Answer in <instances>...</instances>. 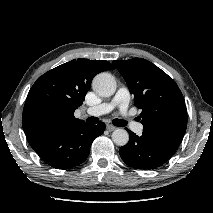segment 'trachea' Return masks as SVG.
<instances>
[{
	"label": "trachea",
	"mask_w": 213,
	"mask_h": 213,
	"mask_svg": "<svg viewBox=\"0 0 213 213\" xmlns=\"http://www.w3.org/2000/svg\"><path fill=\"white\" fill-rule=\"evenodd\" d=\"M86 121L88 123H90V124H96L98 122V118H96V117H89ZM112 123L115 126H118V127H124L127 124L124 120H121V119H114L112 121Z\"/></svg>",
	"instance_id": "1"
}]
</instances>
